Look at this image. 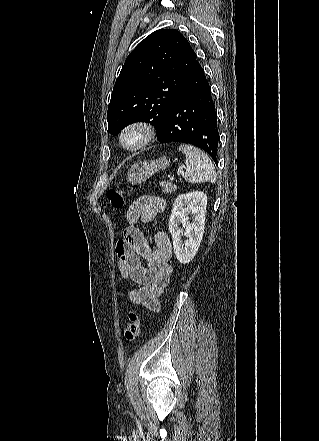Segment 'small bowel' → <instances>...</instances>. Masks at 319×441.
I'll list each match as a JSON object with an SVG mask.
<instances>
[{
    "mask_svg": "<svg viewBox=\"0 0 319 441\" xmlns=\"http://www.w3.org/2000/svg\"><path fill=\"white\" fill-rule=\"evenodd\" d=\"M165 205V200L158 196L143 195L136 199L126 214L123 239L116 246L120 274L131 284L128 299L154 312L160 308L159 296L172 274L171 242L168 235L159 230L153 245L138 224H155Z\"/></svg>",
    "mask_w": 319,
    "mask_h": 441,
    "instance_id": "obj_1",
    "label": "small bowel"
}]
</instances>
